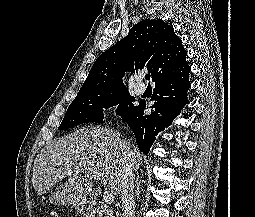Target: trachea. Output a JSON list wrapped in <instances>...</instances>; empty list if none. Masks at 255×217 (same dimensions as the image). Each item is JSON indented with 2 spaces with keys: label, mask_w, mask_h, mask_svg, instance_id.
I'll return each mask as SVG.
<instances>
[{
  "label": "trachea",
  "mask_w": 255,
  "mask_h": 217,
  "mask_svg": "<svg viewBox=\"0 0 255 217\" xmlns=\"http://www.w3.org/2000/svg\"><path fill=\"white\" fill-rule=\"evenodd\" d=\"M145 79L149 81L150 80V74H146Z\"/></svg>",
  "instance_id": "trachea-1"
}]
</instances>
